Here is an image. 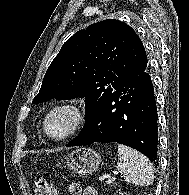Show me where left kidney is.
Here are the masks:
<instances>
[{"instance_id": "obj_1", "label": "left kidney", "mask_w": 189, "mask_h": 195, "mask_svg": "<svg viewBox=\"0 0 189 195\" xmlns=\"http://www.w3.org/2000/svg\"><path fill=\"white\" fill-rule=\"evenodd\" d=\"M119 195H124L123 193H120ZM125 195H128V194H125Z\"/></svg>"}]
</instances>
